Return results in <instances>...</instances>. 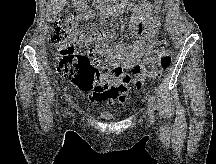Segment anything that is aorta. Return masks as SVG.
<instances>
[{"instance_id": "1", "label": "aorta", "mask_w": 216, "mask_h": 164, "mask_svg": "<svg viewBox=\"0 0 216 164\" xmlns=\"http://www.w3.org/2000/svg\"><path fill=\"white\" fill-rule=\"evenodd\" d=\"M111 1H113V2H117V0H111ZM113 6L116 7L117 4H113Z\"/></svg>"}]
</instances>
